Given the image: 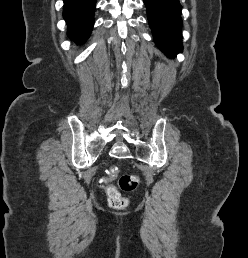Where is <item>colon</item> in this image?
Masks as SVG:
<instances>
[{
    "instance_id": "colon-1",
    "label": "colon",
    "mask_w": 248,
    "mask_h": 258,
    "mask_svg": "<svg viewBox=\"0 0 248 258\" xmlns=\"http://www.w3.org/2000/svg\"><path fill=\"white\" fill-rule=\"evenodd\" d=\"M119 168L113 166L110 169L109 177L110 179H115L118 175ZM118 184L121 190L125 192H133L137 189L139 184V179L136 175L125 174L118 179ZM106 193L108 196L109 204L114 209H124L128 205V200L124 197L115 187L108 186L106 188Z\"/></svg>"
}]
</instances>
